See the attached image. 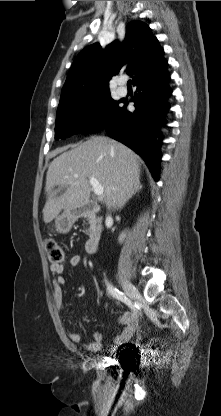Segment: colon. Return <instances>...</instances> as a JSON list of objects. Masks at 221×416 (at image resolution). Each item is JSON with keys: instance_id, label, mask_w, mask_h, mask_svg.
Segmentation results:
<instances>
[{"instance_id": "colon-1", "label": "colon", "mask_w": 221, "mask_h": 416, "mask_svg": "<svg viewBox=\"0 0 221 416\" xmlns=\"http://www.w3.org/2000/svg\"><path fill=\"white\" fill-rule=\"evenodd\" d=\"M48 259L53 264H60L64 260V251L54 240L48 239L45 242Z\"/></svg>"}]
</instances>
